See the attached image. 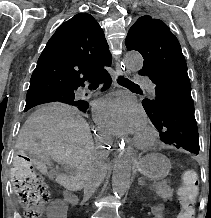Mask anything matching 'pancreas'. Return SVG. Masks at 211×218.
<instances>
[{
  "label": "pancreas",
  "mask_w": 211,
  "mask_h": 218,
  "mask_svg": "<svg viewBox=\"0 0 211 218\" xmlns=\"http://www.w3.org/2000/svg\"><path fill=\"white\" fill-rule=\"evenodd\" d=\"M153 188L157 196L163 198L165 202L172 200L173 190H171L170 186H167V182H157V184H153Z\"/></svg>",
  "instance_id": "cf45deb5"
}]
</instances>
